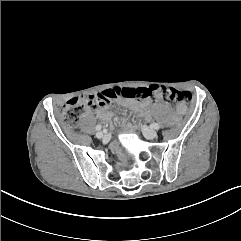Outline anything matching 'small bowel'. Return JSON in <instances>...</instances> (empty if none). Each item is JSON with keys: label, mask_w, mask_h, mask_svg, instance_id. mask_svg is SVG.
<instances>
[{"label": "small bowel", "mask_w": 241, "mask_h": 241, "mask_svg": "<svg viewBox=\"0 0 241 241\" xmlns=\"http://www.w3.org/2000/svg\"><path fill=\"white\" fill-rule=\"evenodd\" d=\"M116 100V99H115ZM115 101L109 105H100V106H110L112 104H114ZM152 102L150 100H143V101H135L133 99L127 98L124 100V104L130 108L133 109H140V110H146L148 108V106L151 104ZM178 111L179 112H183L184 111V106L183 105H179L178 106ZM96 114L98 117H100L101 119H108L110 117V113H108L107 111H105L103 108H97L95 110Z\"/></svg>", "instance_id": "c3829d8e"}]
</instances>
